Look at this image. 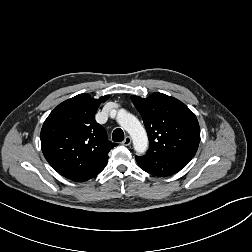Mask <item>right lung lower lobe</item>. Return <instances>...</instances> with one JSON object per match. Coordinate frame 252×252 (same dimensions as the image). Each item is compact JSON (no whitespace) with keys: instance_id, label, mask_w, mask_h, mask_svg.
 Masks as SVG:
<instances>
[{"instance_id":"1","label":"right lung lower lobe","mask_w":252,"mask_h":252,"mask_svg":"<svg viewBox=\"0 0 252 252\" xmlns=\"http://www.w3.org/2000/svg\"><path fill=\"white\" fill-rule=\"evenodd\" d=\"M103 169H104V167H103V168H99V169H97V170H94V171H92V172L83 174V175L78 176V177H76V178H73V179H71V180L76 181V182L87 181V180H89V179L95 177L96 175H98Z\"/></svg>"}]
</instances>
